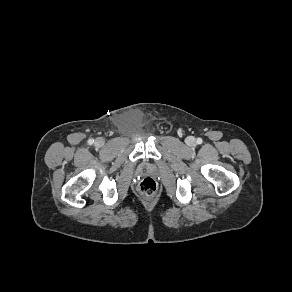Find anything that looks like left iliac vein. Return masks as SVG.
<instances>
[{
  "label": "left iliac vein",
  "mask_w": 292,
  "mask_h": 292,
  "mask_svg": "<svg viewBox=\"0 0 292 292\" xmlns=\"http://www.w3.org/2000/svg\"><path fill=\"white\" fill-rule=\"evenodd\" d=\"M186 143L189 145V146H193L195 144V138L194 137H188L186 139Z\"/></svg>",
  "instance_id": "obj_1"
}]
</instances>
